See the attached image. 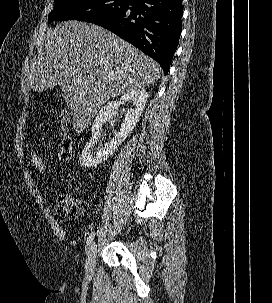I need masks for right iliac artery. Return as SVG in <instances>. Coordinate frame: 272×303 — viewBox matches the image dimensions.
I'll return each mask as SVG.
<instances>
[{"label":"right iliac artery","mask_w":272,"mask_h":303,"mask_svg":"<svg viewBox=\"0 0 272 303\" xmlns=\"http://www.w3.org/2000/svg\"><path fill=\"white\" fill-rule=\"evenodd\" d=\"M94 232H91L89 235H88V237H87V239H86V244L87 245H90L91 244V242H92V240H93V238H94Z\"/></svg>","instance_id":"obj_1"}]
</instances>
